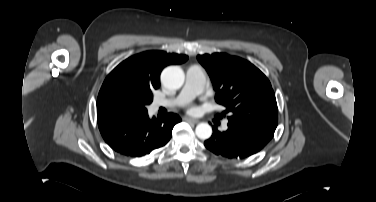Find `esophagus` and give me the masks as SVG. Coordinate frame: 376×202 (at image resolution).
<instances>
[{
	"label": "esophagus",
	"instance_id": "obj_1",
	"mask_svg": "<svg viewBox=\"0 0 376 202\" xmlns=\"http://www.w3.org/2000/svg\"><path fill=\"white\" fill-rule=\"evenodd\" d=\"M184 120L195 123V124L199 122V120L191 118V117H184Z\"/></svg>",
	"mask_w": 376,
	"mask_h": 202
}]
</instances>
